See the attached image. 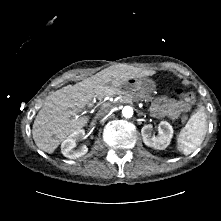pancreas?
I'll use <instances>...</instances> for the list:
<instances>
[{
  "instance_id": "obj_1",
  "label": "pancreas",
  "mask_w": 221,
  "mask_h": 221,
  "mask_svg": "<svg viewBox=\"0 0 221 221\" xmlns=\"http://www.w3.org/2000/svg\"><path fill=\"white\" fill-rule=\"evenodd\" d=\"M145 101H149L150 100V98H149V96L148 95H144V96H141ZM133 100H136V98H135V96L133 95V94H131V93H129V94H127L126 95V97H123V101H129V102H131V101H133Z\"/></svg>"
}]
</instances>
